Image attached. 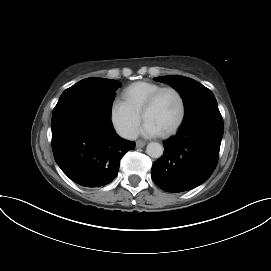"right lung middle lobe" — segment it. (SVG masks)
Instances as JSON below:
<instances>
[{"label": "right lung middle lobe", "instance_id": "1", "mask_svg": "<svg viewBox=\"0 0 271 271\" xmlns=\"http://www.w3.org/2000/svg\"><path fill=\"white\" fill-rule=\"evenodd\" d=\"M120 82L104 78H87L66 89L53 110L52 122L63 117L92 110L110 114Z\"/></svg>", "mask_w": 271, "mask_h": 271}]
</instances>
